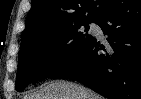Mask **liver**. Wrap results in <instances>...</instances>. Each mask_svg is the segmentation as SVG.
Segmentation results:
<instances>
[{"instance_id": "liver-1", "label": "liver", "mask_w": 141, "mask_h": 99, "mask_svg": "<svg viewBox=\"0 0 141 99\" xmlns=\"http://www.w3.org/2000/svg\"><path fill=\"white\" fill-rule=\"evenodd\" d=\"M25 99H103L92 90L67 81H55L41 86Z\"/></svg>"}]
</instances>
